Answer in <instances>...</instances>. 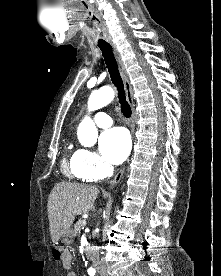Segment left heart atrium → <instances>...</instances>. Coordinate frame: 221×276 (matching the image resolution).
<instances>
[{
    "mask_svg": "<svg viewBox=\"0 0 221 276\" xmlns=\"http://www.w3.org/2000/svg\"><path fill=\"white\" fill-rule=\"evenodd\" d=\"M102 156L111 164H120L130 152L131 142L128 132L123 128L105 131L99 139Z\"/></svg>",
    "mask_w": 221,
    "mask_h": 276,
    "instance_id": "39dd6f15",
    "label": "left heart atrium"
}]
</instances>
